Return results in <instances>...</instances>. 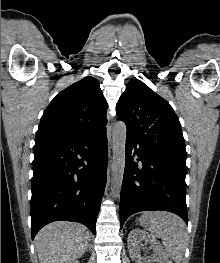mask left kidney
Segmentation results:
<instances>
[{
	"label": "left kidney",
	"mask_w": 220,
	"mask_h": 263,
	"mask_svg": "<svg viewBox=\"0 0 220 263\" xmlns=\"http://www.w3.org/2000/svg\"><path fill=\"white\" fill-rule=\"evenodd\" d=\"M142 241L150 244V247L154 251V256L151 260H147V258L142 257L140 254V244ZM128 250L131 259L137 263H172L156 238L142 230L135 229L129 233Z\"/></svg>",
	"instance_id": "1"
}]
</instances>
